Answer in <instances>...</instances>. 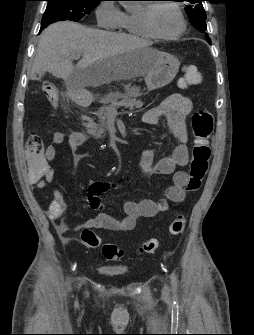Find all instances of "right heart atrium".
Here are the masks:
<instances>
[{"instance_id": "1", "label": "right heart atrium", "mask_w": 254, "mask_h": 335, "mask_svg": "<svg viewBox=\"0 0 254 335\" xmlns=\"http://www.w3.org/2000/svg\"><path fill=\"white\" fill-rule=\"evenodd\" d=\"M123 12L113 1H102L96 9L98 25L107 29L119 27Z\"/></svg>"}]
</instances>
